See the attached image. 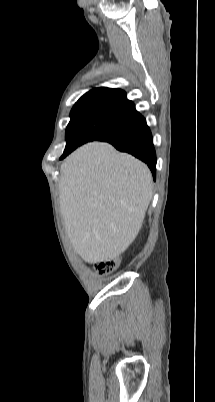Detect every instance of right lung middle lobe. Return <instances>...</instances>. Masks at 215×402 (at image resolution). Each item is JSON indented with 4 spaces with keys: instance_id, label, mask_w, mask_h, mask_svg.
Instances as JSON below:
<instances>
[{
    "instance_id": "dd1d6c3e",
    "label": "right lung middle lobe",
    "mask_w": 215,
    "mask_h": 402,
    "mask_svg": "<svg viewBox=\"0 0 215 402\" xmlns=\"http://www.w3.org/2000/svg\"><path fill=\"white\" fill-rule=\"evenodd\" d=\"M140 116L131 102L105 95L82 96L70 113L62 157L86 142L117 137Z\"/></svg>"
}]
</instances>
